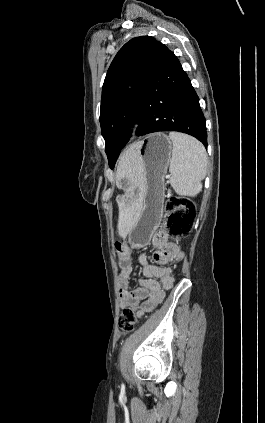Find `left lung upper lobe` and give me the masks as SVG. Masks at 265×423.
Here are the masks:
<instances>
[{"label": "left lung upper lobe", "instance_id": "1", "mask_svg": "<svg viewBox=\"0 0 265 423\" xmlns=\"http://www.w3.org/2000/svg\"><path fill=\"white\" fill-rule=\"evenodd\" d=\"M162 43L153 37L131 39L113 59L102 88L100 124L105 152L114 168L130 135L124 130L134 123L139 97Z\"/></svg>", "mask_w": 265, "mask_h": 423}]
</instances>
